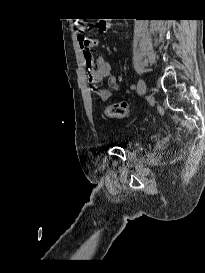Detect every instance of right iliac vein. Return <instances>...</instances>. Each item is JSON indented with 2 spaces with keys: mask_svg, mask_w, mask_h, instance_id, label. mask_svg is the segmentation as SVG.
<instances>
[{
  "mask_svg": "<svg viewBox=\"0 0 205 273\" xmlns=\"http://www.w3.org/2000/svg\"><path fill=\"white\" fill-rule=\"evenodd\" d=\"M146 83L143 79H140L137 84V93L138 95H142L146 90Z\"/></svg>",
  "mask_w": 205,
  "mask_h": 273,
  "instance_id": "obj_1",
  "label": "right iliac vein"
}]
</instances>
